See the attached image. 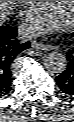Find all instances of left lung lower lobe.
I'll list each match as a JSON object with an SVG mask.
<instances>
[{
	"mask_svg": "<svg viewBox=\"0 0 74 122\" xmlns=\"http://www.w3.org/2000/svg\"><path fill=\"white\" fill-rule=\"evenodd\" d=\"M74 36V33H73ZM68 65L64 72L56 77V83L61 93L74 95V48L66 54Z\"/></svg>",
	"mask_w": 74,
	"mask_h": 122,
	"instance_id": "1",
	"label": "left lung lower lobe"
}]
</instances>
